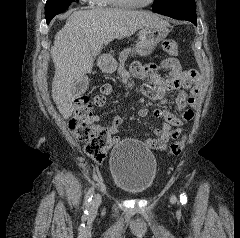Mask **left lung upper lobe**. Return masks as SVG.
Masks as SVG:
<instances>
[{
  "label": "left lung upper lobe",
  "instance_id": "obj_1",
  "mask_svg": "<svg viewBox=\"0 0 240 238\" xmlns=\"http://www.w3.org/2000/svg\"><path fill=\"white\" fill-rule=\"evenodd\" d=\"M152 8L153 10L178 8L196 11V4L195 0H155Z\"/></svg>",
  "mask_w": 240,
  "mask_h": 238
}]
</instances>
